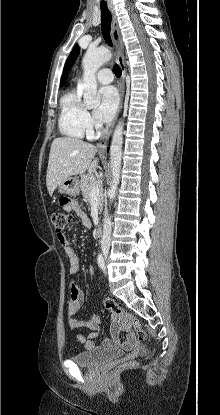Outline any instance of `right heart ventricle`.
<instances>
[{
    "label": "right heart ventricle",
    "instance_id": "e07e8e85",
    "mask_svg": "<svg viewBox=\"0 0 220 415\" xmlns=\"http://www.w3.org/2000/svg\"><path fill=\"white\" fill-rule=\"evenodd\" d=\"M86 115L79 93L76 90L67 91L60 100L58 127L61 134L75 139L91 136Z\"/></svg>",
    "mask_w": 220,
    "mask_h": 415
}]
</instances>
